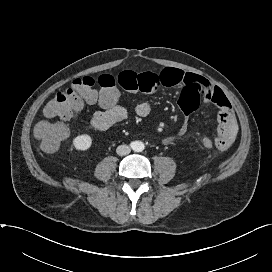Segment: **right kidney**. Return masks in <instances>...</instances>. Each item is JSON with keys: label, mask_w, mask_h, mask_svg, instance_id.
I'll use <instances>...</instances> for the list:
<instances>
[{"label": "right kidney", "mask_w": 272, "mask_h": 272, "mask_svg": "<svg viewBox=\"0 0 272 272\" xmlns=\"http://www.w3.org/2000/svg\"><path fill=\"white\" fill-rule=\"evenodd\" d=\"M91 145L92 138L88 134L79 135L73 140V146L78 151H86Z\"/></svg>", "instance_id": "obj_1"}]
</instances>
